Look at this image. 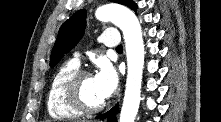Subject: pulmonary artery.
Masks as SVG:
<instances>
[{
	"mask_svg": "<svg viewBox=\"0 0 221 122\" xmlns=\"http://www.w3.org/2000/svg\"><path fill=\"white\" fill-rule=\"evenodd\" d=\"M99 42L107 47H117L120 44V39L116 30L107 29L100 35ZM73 61L80 64L79 55H76Z\"/></svg>",
	"mask_w": 221,
	"mask_h": 122,
	"instance_id": "1",
	"label": "pulmonary artery"
}]
</instances>
